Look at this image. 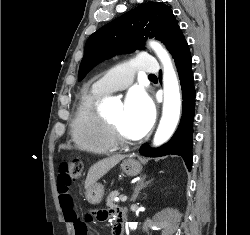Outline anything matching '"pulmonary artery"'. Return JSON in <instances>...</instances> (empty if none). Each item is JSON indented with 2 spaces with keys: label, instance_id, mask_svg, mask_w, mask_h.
<instances>
[{
  "label": "pulmonary artery",
  "instance_id": "1",
  "mask_svg": "<svg viewBox=\"0 0 250 235\" xmlns=\"http://www.w3.org/2000/svg\"><path fill=\"white\" fill-rule=\"evenodd\" d=\"M138 69L148 74L159 71L156 58L148 52L138 54L137 58L127 61L120 68H115L99 78L93 87L109 94L126 88L132 82V70Z\"/></svg>",
  "mask_w": 250,
  "mask_h": 235
}]
</instances>
